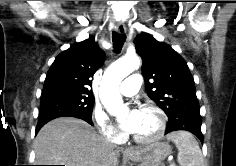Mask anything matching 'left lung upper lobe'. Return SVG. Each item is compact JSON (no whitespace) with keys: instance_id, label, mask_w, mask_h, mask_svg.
Listing matches in <instances>:
<instances>
[{"instance_id":"5c2ea615","label":"left lung upper lobe","mask_w":236,"mask_h":166,"mask_svg":"<svg viewBox=\"0 0 236 166\" xmlns=\"http://www.w3.org/2000/svg\"><path fill=\"white\" fill-rule=\"evenodd\" d=\"M134 42L136 52L143 59L147 94L169 119L198 104L194 79L176 51L147 33L137 35Z\"/></svg>"}]
</instances>
